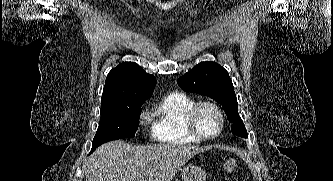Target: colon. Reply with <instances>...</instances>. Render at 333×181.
Instances as JSON below:
<instances>
[{
  "mask_svg": "<svg viewBox=\"0 0 333 181\" xmlns=\"http://www.w3.org/2000/svg\"><path fill=\"white\" fill-rule=\"evenodd\" d=\"M237 168V161L233 158L228 159L223 166V169L226 173H232Z\"/></svg>",
  "mask_w": 333,
  "mask_h": 181,
  "instance_id": "5ec220e1",
  "label": "colon"
}]
</instances>
